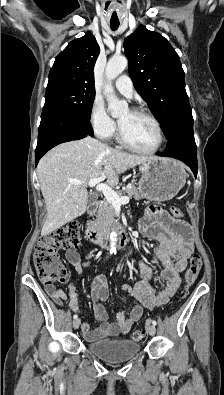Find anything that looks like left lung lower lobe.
Here are the masks:
<instances>
[{
    "instance_id": "1",
    "label": "left lung lower lobe",
    "mask_w": 224,
    "mask_h": 395,
    "mask_svg": "<svg viewBox=\"0 0 224 395\" xmlns=\"http://www.w3.org/2000/svg\"><path fill=\"white\" fill-rule=\"evenodd\" d=\"M168 146L159 156L173 157L186 163L197 176V148L193 133L192 113L181 116L172 132L166 135Z\"/></svg>"
}]
</instances>
